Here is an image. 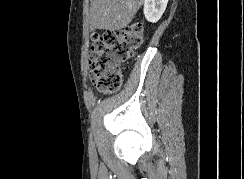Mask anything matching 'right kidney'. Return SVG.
Here are the masks:
<instances>
[{
	"mask_svg": "<svg viewBox=\"0 0 244 179\" xmlns=\"http://www.w3.org/2000/svg\"><path fill=\"white\" fill-rule=\"evenodd\" d=\"M168 0H145L144 16L148 22H158L166 10Z\"/></svg>",
	"mask_w": 244,
	"mask_h": 179,
	"instance_id": "1",
	"label": "right kidney"
}]
</instances>
